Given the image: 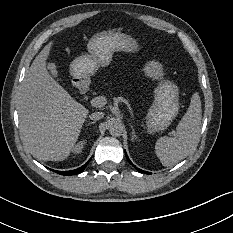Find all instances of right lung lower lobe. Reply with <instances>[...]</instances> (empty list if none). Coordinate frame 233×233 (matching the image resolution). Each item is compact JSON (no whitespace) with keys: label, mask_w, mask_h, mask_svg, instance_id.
<instances>
[{"label":"right lung lower lobe","mask_w":233,"mask_h":233,"mask_svg":"<svg viewBox=\"0 0 233 233\" xmlns=\"http://www.w3.org/2000/svg\"><path fill=\"white\" fill-rule=\"evenodd\" d=\"M87 164H88V162L85 165H83L82 167L75 169V170H71V171H55V170H53V171L56 173H59L61 175H74V174H78V173L82 172L85 169V167L87 166Z\"/></svg>","instance_id":"right-lung-lower-lobe-1"}]
</instances>
